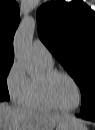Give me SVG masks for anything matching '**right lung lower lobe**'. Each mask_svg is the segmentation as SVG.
<instances>
[{
	"instance_id": "right-lung-lower-lobe-1",
	"label": "right lung lower lobe",
	"mask_w": 95,
	"mask_h": 130,
	"mask_svg": "<svg viewBox=\"0 0 95 130\" xmlns=\"http://www.w3.org/2000/svg\"><path fill=\"white\" fill-rule=\"evenodd\" d=\"M5 100H8V99H5V98H0V101H5Z\"/></svg>"
}]
</instances>
